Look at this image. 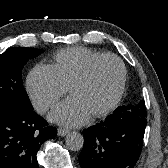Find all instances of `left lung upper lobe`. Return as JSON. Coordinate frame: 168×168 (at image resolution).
Segmentation results:
<instances>
[{
	"label": "left lung upper lobe",
	"mask_w": 168,
	"mask_h": 168,
	"mask_svg": "<svg viewBox=\"0 0 168 168\" xmlns=\"http://www.w3.org/2000/svg\"><path fill=\"white\" fill-rule=\"evenodd\" d=\"M140 103H145V102H144V101L134 102V103H132V105H138V104H140Z\"/></svg>",
	"instance_id": "left-lung-upper-lobe-1"
}]
</instances>
